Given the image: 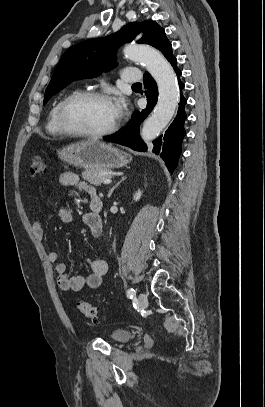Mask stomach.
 I'll return each instance as SVG.
<instances>
[{"label": "stomach", "mask_w": 265, "mask_h": 407, "mask_svg": "<svg viewBox=\"0 0 265 407\" xmlns=\"http://www.w3.org/2000/svg\"><path fill=\"white\" fill-rule=\"evenodd\" d=\"M58 156L69 165L102 171L124 167L131 161L128 153L95 140L82 141L63 147L58 151Z\"/></svg>", "instance_id": "1"}]
</instances>
